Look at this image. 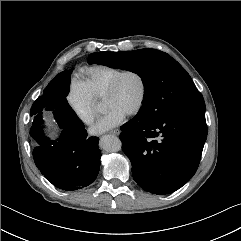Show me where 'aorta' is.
I'll return each mask as SVG.
<instances>
[{
    "label": "aorta",
    "mask_w": 241,
    "mask_h": 241,
    "mask_svg": "<svg viewBox=\"0 0 241 241\" xmlns=\"http://www.w3.org/2000/svg\"><path fill=\"white\" fill-rule=\"evenodd\" d=\"M120 139L113 135H105L100 139V147L107 152H117L121 150Z\"/></svg>",
    "instance_id": "aorta-1"
}]
</instances>
